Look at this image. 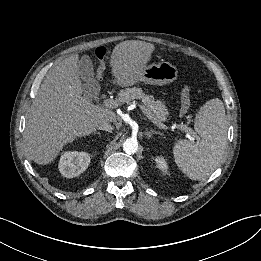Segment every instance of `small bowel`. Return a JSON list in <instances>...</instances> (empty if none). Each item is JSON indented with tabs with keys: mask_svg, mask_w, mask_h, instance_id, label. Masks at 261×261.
Wrapping results in <instances>:
<instances>
[{
	"mask_svg": "<svg viewBox=\"0 0 261 261\" xmlns=\"http://www.w3.org/2000/svg\"><path fill=\"white\" fill-rule=\"evenodd\" d=\"M190 96L185 93L183 90L181 93V107L184 109V113H186L190 107Z\"/></svg>",
	"mask_w": 261,
	"mask_h": 261,
	"instance_id": "small-bowel-1",
	"label": "small bowel"
}]
</instances>
